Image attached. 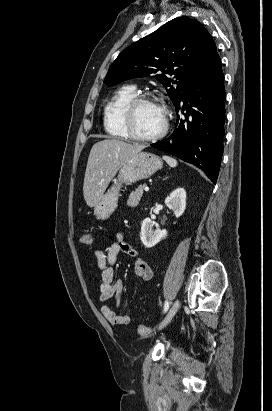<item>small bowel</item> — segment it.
<instances>
[{"label":"small bowel","mask_w":272,"mask_h":411,"mask_svg":"<svg viewBox=\"0 0 272 411\" xmlns=\"http://www.w3.org/2000/svg\"><path fill=\"white\" fill-rule=\"evenodd\" d=\"M120 253L132 257L134 262V272L142 281H149L153 277L151 265L138 256V252L127 242L123 235L118 234L107 248H97L94 251V257L97 261L100 272V310L103 317L113 326H127L131 323V317L127 313L118 314L106 302L115 295V306H121V294L124 284L121 280H114L113 266L117 261Z\"/></svg>","instance_id":"obj_1"}]
</instances>
